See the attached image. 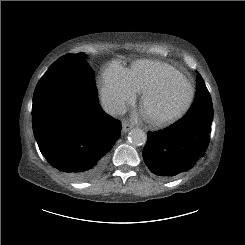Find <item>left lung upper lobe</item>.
I'll use <instances>...</instances> for the list:
<instances>
[{
    "instance_id": "1",
    "label": "left lung upper lobe",
    "mask_w": 245,
    "mask_h": 245,
    "mask_svg": "<svg viewBox=\"0 0 245 245\" xmlns=\"http://www.w3.org/2000/svg\"><path fill=\"white\" fill-rule=\"evenodd\" d=\"M198 79H202V77L200 76V74H198ZM203 80V79H202ZM209 93V92H208ZM210 95V94H209ZM208 96V95H207ZM198 101L199 98L195 97V100L192 104V106L190 107L189 111L184 115V117L182 118L185 121H189V120H193L196 119L198 117V115H195L196 113L199 112L200 106L198 105Z\"/></svg>"
}]
</instances>
